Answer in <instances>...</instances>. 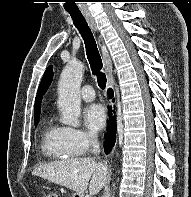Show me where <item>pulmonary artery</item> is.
Returning a JSON list of instances; mask_svg holds the SVG:
<instances>
[{
	"label": "pulmonary artery",
	"instance_id": "obj_1",
	"mask_svg": "<svg viewBox=\"0 0 191 197\" xmlns=\"http://www.w3.org/2000/svg\"><path fill=\"white\" fill-rule=\"evenodd\" d=\"M80 95H81L82 99L87 102H90V101L94 100V98H95L94 90L89 85H85L81 88Z\"/></svg>",
	"mask_w": 191,
	"mask_h": 197
}]
</instances>
